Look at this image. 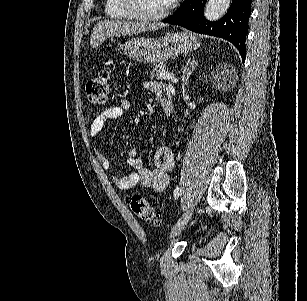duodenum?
<instances>
[{
    "mask_svg": "<svg viewBox=\"0 0 307 301\" xmlns=\"http://www.w3.org/2000/svg\"><path fill=\"white\" fill-rule=\"evenodd\" d=\"M158 99L164 110V113L167 116L171 115L174 109V100H173L172 93L169 90H167L161 95H159Z\"/></svg>",
    "mask_w": 307,
    "mask_h": 301,
    "instance_id": "410a0bca",
    "label": "duodenum"
}]
</instances>
